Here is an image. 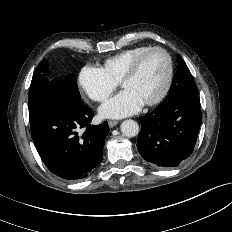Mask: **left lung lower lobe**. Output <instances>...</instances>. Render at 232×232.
Wrapping results in <instances>:
<instances>
[{"mask_svg":"<svg viewBox=\"0 0 232 232\" xmlns=\"http://www.w3.org/2000/svg\"><path fill=\"white\" fill-rule=\"evenodd\" d=\"M137 148L159 168L177 167L193 152L202 122L200 98L171 91L151 113L141 116Z\"/></svg>","mask_w":232,"mask_h":232,"instance_id":"1","label":"left lung lower lobe"}]
</instances>
